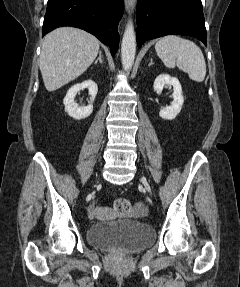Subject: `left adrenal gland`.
Wrapping results in <instances>:
<instances>
[{
	"label": "left adrenal gland",
	"mask_w": 240,
	"mask_h": 287,
	"mask_svg": "<svg viewBox=\"0 0 240 287\" xmlns=\"http://www.w3.org/2000/svg\"><path fill=\"white\" fill-rule=\"evenodd\" d=\"M151 65H153V58L150 59V63L148 66H151Z\"/></svg>",
	"instance_id": "a2214340"
}]
</instances>
